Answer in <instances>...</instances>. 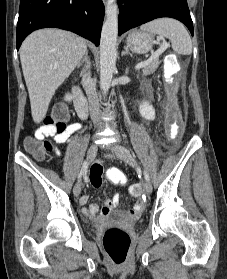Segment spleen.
Listing matches in <instances>:
<instances>
[{
  "label": "spleen",
  "instance_id": "3e777b00",
  "mask_svg": "<svg viewBox=\"0 0 227 279\" xmlns=\"http://www.w3.org/2000/svg\"><path fill=\"white\" fill-rule=\"evenodd\" d=\"M140 29L168 38L173 50L178 54L190 55L192 53L191 38L179 21L170 18L156 19L142 25Z\"/></svg>",
  "mask_w": 227,
  "mask_h": 279
}]
</instances>
